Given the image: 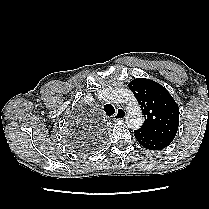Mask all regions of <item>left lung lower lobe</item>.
Masks as SVG:
<instances>
[{"label": "left lung lower lobe", "mask_w": 209, "mask_h": 209, "mask_svg": "<svg viewBox=\"0 0 209 209\" xmlns=\"http://www.w3.org/2000/svg\"><path fill=\"white\" fill-rule=\"evenodd\" d=\"M134 136L143 147L150 150H161L173 141V139L152 135L139 129L135 130Z\"/></svg>", "instance_id": "left-lung-lower-lobe-1"}]
</instances>
